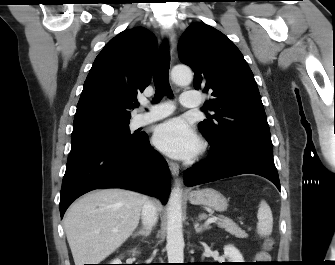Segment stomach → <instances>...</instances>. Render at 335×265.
I'll return each mask as SVG.
<instances>
[{
    "mask_svg": "<svg viewBox=\"0 0 335 265\" xmlns=\"http://www.w3.org/2000/svg\"><path fill=\"white\" fill-rule=\"evenodd\" d=\"M188 198L193 205L207 206L219 212L225 211L228 206L226 198L211 188L194 190L189 193Z\"/></svg>",
    "mask_w": 335,
    "mask_h": 265,
    "instance_id": "1",
    "label": "stomach"
}]
</instances>
